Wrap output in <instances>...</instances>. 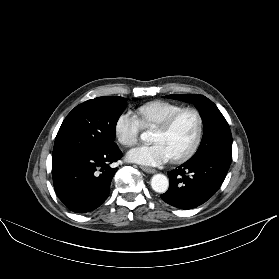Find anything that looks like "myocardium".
Listing matches in <instances>:
<instances>
[{"mask_svg": "<svg viewBox=\"0 0 279 279\" xmlns=\"http://www.w3.org/2000/svg\"><path fill=\"white\" fill-rule=\"evenodd\" d=\"M187 112L194 114V116L196 118V121H197L196 134H195L192 144L189 146V148L187 150H185L183 153H181L179 155L171 157V161H173V162H181V161L186 160L191 155H193V153L198 148L201 138H202V134H203V119H202L200 112L197 109L192 108V107H183V108L179 109L178 111L172 113L160 125H158L155 128L156 131H159L162 133L167 132L171 128V126L173 125L175 120L180 115L187 113Z\"/></svg>", "mask_w": 279, "mask_h": 279, "instance_id": "1", "label": "myocardium"}]
</instances>
